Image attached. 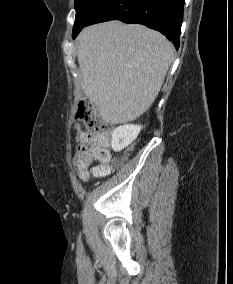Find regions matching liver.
<instances>
[{
	"instance_id": "6515ba94",
	"label": "liver",
	"mask_w": 233,
	"mask_h": 284,
	"mask_svg": "<svg viewBox=\"0 0 233 284\" xmlns=\"http://www.w3.org/2000/svg\"><path fill=\"white\" fill-rule=\"evenodd\" d=\"M77 42L82 90L110 124L135 120L150 108L174 59L172 43L139 24L92 25Z\"/></svg>"
}]
</instances>
